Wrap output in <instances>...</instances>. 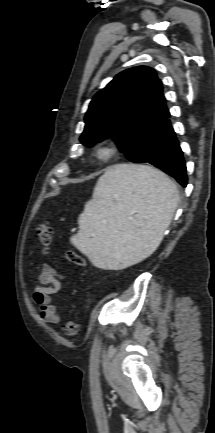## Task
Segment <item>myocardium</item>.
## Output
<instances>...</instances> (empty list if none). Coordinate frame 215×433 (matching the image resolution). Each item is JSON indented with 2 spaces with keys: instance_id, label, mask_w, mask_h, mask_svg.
Instances as JSON below:
<instances>
[{
  "instance_id": "1",
  "label": "myocardium",
  "mask_w": 215,
  "mask_h": 433,
  "mask_svg": "<svg viewBox=\"0 0 215 433\" xmlns=\"http://www.w3.org/2000/svg\"><path fill=\"white\" fill-rule=\"evenodd\" d=\"M119 152L118 145L113 141H103L97 144L92 152L93 158L100 163L111 161Z\"/></svg>"
}]
</instances>
